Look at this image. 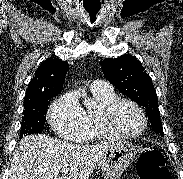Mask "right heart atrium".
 <instances>
[{"label": "right heart atrium", "instance_id": "obj_1", "mask_svg": "<svg viewBox=\"0 0 183 179\" xmlns=\"http://www.w3.org/2000/svg\"><path fill=\"white\" fill-rule=\"evenodd\" d=\"M50 124L63 139L81 141L88 134L85 111L73 93H65L50 110Z\"/></svg>", "mask_w": 183, "mask_h": 179}]
</instances>
